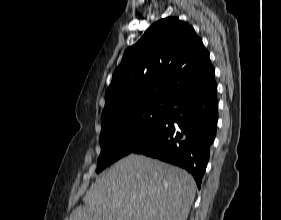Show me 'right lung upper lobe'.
<instances>
[{"mask_svg":"<svg viewBox=\"0 0 281 220\" xmlns=\"http://www.w3.org/2000/svg\"><path fill=\"white\" fill-rule=\"evenodd\" d=\"M215 70L192 26L168 17L152 24L126 49L105 95L102 127L123 116L167 109L176 99L203 90Z\"/></svg>","mask_w":281,"mask_h":220,"instance_id":"right-lung-upper-lobe-1","label":"right lung upper lobe"}]
</instances>
